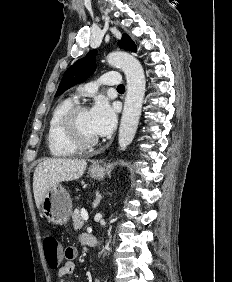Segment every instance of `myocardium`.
Instances as JSON below:
<instances>
[{"label":"myocardium","instance_id":"obj_1","mask_svg":"<svg viewBox=\"0 0 232 282\" xmlns=\"http://www.w3.org/2000/svg\"><path fill=\"white\" fill-rule=\"evenodd\" d=\"M88 110L83 104H74L67 110L62 120V129L65 138L78 150L89 149L98 144L99 139H86L80 133L78 127V115Z\"/></svg>","mask_w":232,"mask_h":282}]
</instances>
